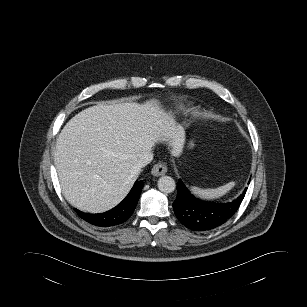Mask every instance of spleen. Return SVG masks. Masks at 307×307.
I'll return each instance as SVG.
<instances>
[{"mask_svg":"<svg viewBox=\"0 0 307 307\" xmlns=\"http://www.w3.org/2000/svg\"><path fill=\"white\" fill-rule=\"evenodd\" d=\"M233 186H234V183L230 182L226 185L220 186V187L215 188V189H200V188H197V187H193V188H191V190L194 194H196V195H198L202 198L211 199V198H217L219 196H222L227 191H229Z\"/></svg>","mask_w":307,"mask_h":307,"instance_id":"obj_1","label":"spleen"}]
</instances>
